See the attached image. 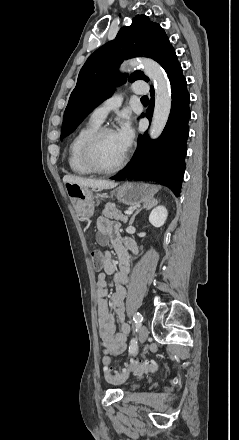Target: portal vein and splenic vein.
Segmentation results:
<instances>
[{
	"mask_svg": "<svg viewBox=\"0 0 239 440\" xmlns=\"http://www.w3.org/2000/svg\"><path fill=\"white\" fill-rule=\"evenodd\" d=\"M132 210H128L127 212H124V214H126V215H130V214H132Z\"/></svg>",
	"mask_w": 239,
	"mask_h": 440,
	"instance_id": "portal-vein-and-splenic-vein-1",
	"label": "portal vein and splenic vein"
}]
</instances>
